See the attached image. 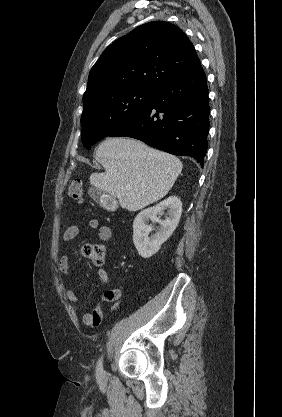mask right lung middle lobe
I'll return each mask as SVG.
<instances>
[{"instance_id":"obj_1","label":"right lung middle lobe","mask_w":282,"mask_h":417,"mask_svg":"<svg viewBox=\"0 0 282 417\" xmlns=\"http://www.w3.org/2000/svg\"><path fill=\"white\" fill-rule=\"evenodd\" d=\"M155 91L133 87L104 92L83 100L81 136L84 147L90 149L140 112Z\"/></svg>"}]
</instances>
